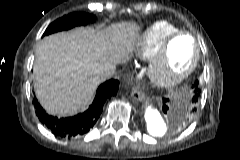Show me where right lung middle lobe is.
I'll use <instances>...</instances> for the list:
<instances>
[{
  "instance_id": "obj_1",
  "label": "right lung middle lobe",
  "mask_w": 240,
  "mask_h": 160,
  "mask_svg": "<svg viewBox=\"0 0 240 160\" xmlns=\"http://www.w3.org/2000/svg\"><path fill=\"white\" fill-rule=\"evenodd\" d=\"M94 19H95V16L91 14L71 13L51 23L46 29V31L44 32L43 36L49 35L57 31L67 30L74 26L86 25L88 22H93Z\"/></svg>"
}]
</instances>
